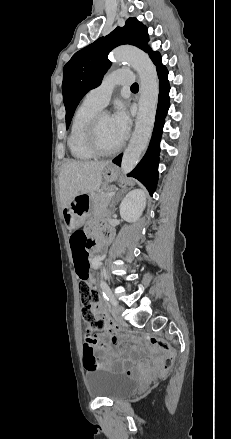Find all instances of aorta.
Instances as JSON below:
<instances>
[{"label":"aorta","instance_id":"aorta-1","mask_svg":"<svg viewBox=\"0 0 231 439\" xmlns=\"http://www.w3.org/2000/svg\"><path fill=\"white\" fill-rule=\"evenodd\" d=\"M112 60L129 63L140 78L139 109L135 129L121 161L123 173H130L138 164L153 130L159 96V80L156 67L143 51L132 47H118L112 52Z\"/></svg>","mask_w":231,"mask_h":439}]
</instances>
